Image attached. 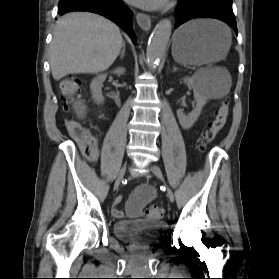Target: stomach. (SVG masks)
<instances>
[{
  "label": "stomach",
  "mask_w": 279,
  "mask_h": 279,
  "mask_svg": "<svg viewBox=\"0 0 279 279\" xmlns=\"http://www.w3.org/2000/svg\"><path fill=\"white\" fill-rule=\"evenodd\" d=\"M223 26L213 20H194L181 26L173 36L174 60L193 66L222 60L231 45V35Z\"/></svg>",
  "instance_id": "stomach-1"
}]
</instances>
